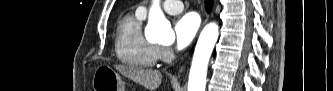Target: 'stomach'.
<instances>
[{
    "mask_svg": "<svg viewBox=\"0 0 333 91\" xmlns=\"http://www.w3.org/2000/svg\"><path fill=\"white\" fill-rule=\"evenodd\" d=\"M92 87L94 91H125L121 76L107 65H101L95 70Z\"/></svg>",
    "mask_w": 333,
    "mask_h": 91,
    "instance_id": "stomach-1",
    "label": "stomach"
}]
</instances>
